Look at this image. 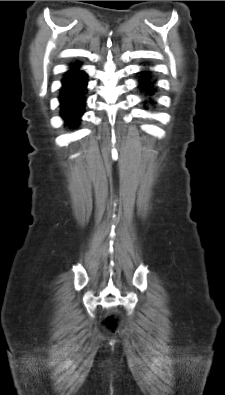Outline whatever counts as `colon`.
<instances>
[{
    "mask_svg": "<svg viewBox=\"0 0 225 395\" xmlns=\"http://www.w3.org/2000/svg\"><path fill=\"white\" fill-rule=\"evenodd\" d=\"M120 318H121L120 314L116 312L109 313L103 318L102 325L106 330L114 331Z\"/></svg>",
    "mask_w": 225,
    "mask_h": 395,
    "instance_id": "colon-1",
    "label": "colon"
}]
</instances>
